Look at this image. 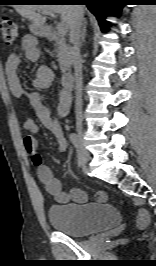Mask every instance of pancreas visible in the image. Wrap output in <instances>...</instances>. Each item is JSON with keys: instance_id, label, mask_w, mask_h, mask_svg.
I'll return each mask as SVG.
<instances>
[{"instance_id": "cf45deb5", "label": "pancreas", "mask_w": 156, "mask_h": 266, "mask_svg": "<svg viewBox=\"0 0 156 266\" xmlns=\"http://www.w3.org/2000/svg\"><path fill=\"white\" fill-rule=\"evenodd\" d=\"M55 51L57 52L60 70L65 73L73 63V50L64 39H59L55 43Z\"/></svg>"}]
</instances>
